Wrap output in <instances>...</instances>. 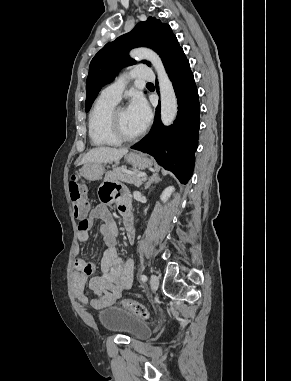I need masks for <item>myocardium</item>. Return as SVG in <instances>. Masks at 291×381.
<instances>
[{
	"instance_id": "1",
	"label": "myocardium",
	"mask_w": 291,
	"mask_h": 381,
	"mask_svg": "<svg viewBox=\"0 0 291 381\" xmlns=\"http://www.w3.org/2000/svg\"><path fill=\"white\" fill-rule=\"evenodd\" d=\"M125 109L123 106H115L108 117V129L111 135L119 142H133L141 138L144 134V129L141 130L138 134L134 136H127L125 135L120 128L119 121H118V114L119 112Z\"/></svg>"
}]
</instances>
